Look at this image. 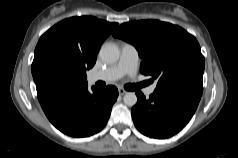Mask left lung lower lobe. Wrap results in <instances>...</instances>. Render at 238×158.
Instances as JSON below:
<instances>
[{"label": "left lung lower lobe", "instance_id": "1", "mask_svg": "<svg viewBox=\"0 0 238 158\" xmlns=\"http://www.w3.org/2000/svg\"><path fill=\"white\" fill-rule=\"evenodd\" d=\"M203 92L201 82H190L164 90H155L146 99L137 91L132 108L136 128L146 136L164 139L178 133L193 116Z\"/></svg>", "mask_w": 238, "mask_h": 158}]
</instances>
